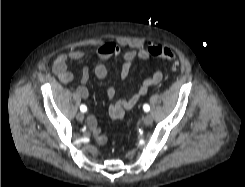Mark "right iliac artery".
<instances>
[{
	"instance_id": "obj_1",
	"label": "right iliac artery",
	"mask_w": 245,
	"mask_h": 187,
	"mask_svg": "<svg viewBox=\"0 0 245 187\" xmlns=\"http://www.w3.org/2000/svg\"><path fill=\"white\" fill-rule=\"evenodd\" d=\"M80 111L81 112H86L87 111V107L85 105H81L80 106Z\"/></svg>"
}]
</instances>
